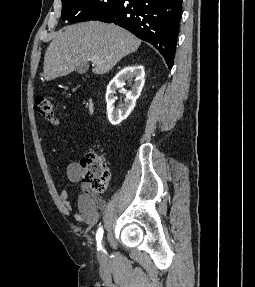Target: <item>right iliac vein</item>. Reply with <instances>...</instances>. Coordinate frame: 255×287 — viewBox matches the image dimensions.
Wrapping results in <instances>:
<instances>
[{
	"label": "right iliac vein",
	"instance_id": "obj_1",
	"mask_svg": "<svg viewBox=\"0 0 255 287\" xmlns=\"http://www.w3.org/2000/svg\"><path fill=\"white\" fill-rule=\"evenodd\" d=\"M100 258H101V259H104V255H103V253H101Z\"/></svg>",
	"mask_w": 255,
	"mask_h": 287
}]
</instances>
